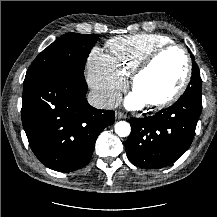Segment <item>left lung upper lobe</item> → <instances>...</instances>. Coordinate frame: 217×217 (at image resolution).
I'll return each mask as SVG.
<instances>
[{
  "label": "left lung upper lobe",
  "instance_id": "1",
  "mask_svg": "<svg viewBox=\"0 0 217 217\" xmlns=\"http://www.w3.org/2000/svg\"><path fill=\"white\" fill-rule=\"evenodd\" d=\"M191 58L194 59V56L191 55ZM201 92H202V80L200 78V71H199V68L196 62H193L191 81L185 93H190V94L201 96Z\"/></svg>",
  "mask_w": 217,
  "mask_h": 217
}]
</instances>
